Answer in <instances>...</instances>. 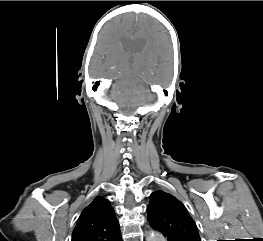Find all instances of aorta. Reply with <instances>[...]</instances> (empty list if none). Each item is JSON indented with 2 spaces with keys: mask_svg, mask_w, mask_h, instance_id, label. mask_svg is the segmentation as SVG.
<instances>
[{
  "mask_svg": "<svg viewBox=\"0 0 263 241\" xmlns=\"http://www.w3.org/2000/svg\"><path fill=\"white\" fill-rule=\"evenodd\" d=\"M146 241H165L163 236L155 231H150L146 237Z\"/></svg>",
  "mask_w": 263,
  "mask_h": 241,
  "instance_id": "1",
  "label": "aorta"
}]
</instances>
